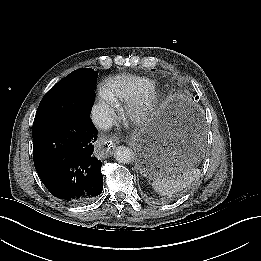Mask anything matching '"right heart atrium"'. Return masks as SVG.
<instances>
[{
	"mask_svg": "<svg viewBox=\"0 0 261 261\" xmlns=\"http://www.w3.org/2000/svg\"><path fill=\"white\" fill-rule=\"evenodd\" d=\"M95 108L96 115L106 122L112 119L115 112L116 103L106 90H102L100 93L99 103Z\"/></svg>",
	"mask_w": 261,
	"mask_h": 261,
	"instance_id": "obj_1",
	"label": "right heart atrium"
}]
</instances>
